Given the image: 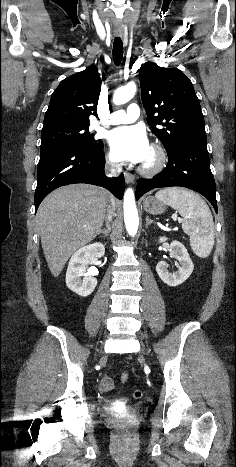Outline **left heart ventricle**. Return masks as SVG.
I'll return each mask as SVG.
<instances>
[{
    "instance_id": "1",
    "label": "left heart ventricle",
    "mask_w": 236,
    "mask_h": 467,
    "mask_svg": "<svg viewBox=\"0 0 236 467\" xmlns=\"http://www.w3.org/2000/svg\"><path fill=\"white\" fill-rule=\"evenodd\" d=\"M152 161H153V154H152V152L150 150L149 155L146 158V160L144 161V163H151Z\"/></svg>"
}]
</instances>
